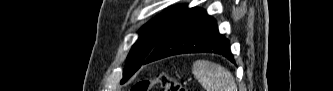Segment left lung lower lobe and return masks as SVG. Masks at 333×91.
<instances>
[{
  "mask_svg": "<svg viewBox=\"0 0 333 91\" xmlns=\"http://www.w3.org/2000/svg\"><path fill=\"white\" fill-rule=\"evenodd\" d=\"M183 53H216L234 62L229 41L219 34L215 20L197 8L189 9L173 24L143 64Z\"/></svg>",
  "mask_w": 333,
  "mask_h": 91,
  "instance_id": "1",
  "label": "left lung lower lobe"
}]
</instances>
